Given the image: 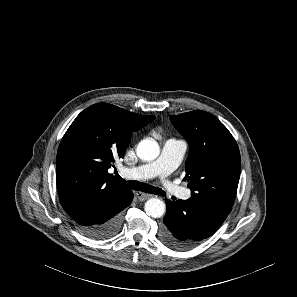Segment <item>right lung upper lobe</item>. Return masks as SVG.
I'll return each mask as SVG.
<instances>
[{
  "label": "right lung upper lobe",
  "mask_w": 297,
  "mask_h": 297,
  "mask_svg": "<svg viewBox=\"0 0 297 297\" xmlns=\"http://www.w3.org/2000/svg\"><path fill=\"white\" fill-rule=\"evenodd\" d=\"M154 119L107 103L94 104L76 117L60 142L56 159L57 187L68 215L91 197L129 190L108 169L124 157L132 132Z\"/></svg>",
  "instance_id": "1"
}]
</instances>
